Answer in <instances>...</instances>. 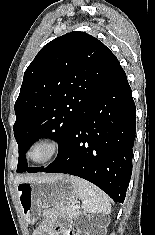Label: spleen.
Here are the masks:
<instances>
[{"label": "spleen", "instance_id": "3e777b00", "mask_svg": "<svg viewBox=\"0 0 155 235\" xmlns=\"http://www.w3.org/2000/svg\"><path fill=\"white\" fill-rule=\"evenodd\" d=\"M72 182L76 185L79 197L83 203V209L90 214H110L111 204L109 197L97 186L75 176H71Z\"/></svg>", "mask_w": 155, "mask_h": 235}]
</instances>
